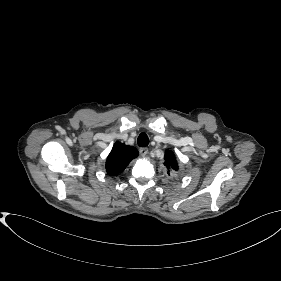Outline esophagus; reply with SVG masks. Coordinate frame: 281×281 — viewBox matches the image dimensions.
<instances>
[{
  "label": "esophagus",
  "instance_id": "34e87169",
  "mask_svg": "<svg viewBox=\"0 0 281 281\" xmlns=\"http://www.w3.org/2000/svg\"><path fill=\"white\" fill-rule=\"evenodd\" d=\"M139 152H140V155H141L142 157H144V156H146V155L148 154V149H147L146 147L140 148V149H139Z\"/></svg>",
  "mask_w": 281,
  "mask_h": 281
}]
</instances>
